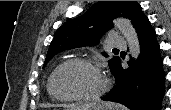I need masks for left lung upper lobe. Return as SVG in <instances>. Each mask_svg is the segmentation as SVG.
<instances>
[{"mask_svg": "<svg viewBox=\"0 0 171 110\" xmlns=\"http://www.w3.org/2000/svg\"><path fill=\"white\" fill-rule=\"evenodd\" d=\"M116 17L130 19L137 29L141 20L146 16L136 1H99L85 14L66 22L56 31L43 67L62 51L96 45L100 37L111 29L112 20ZM119 62L120 58L117 56L109 60L112 74H114Z\"/></svg>", "mask_w": 171, "mask_h": 110, "instance_id": "left-lung-upper-lobe-1", "label": "left lung upper lobe"}]
</instances>
